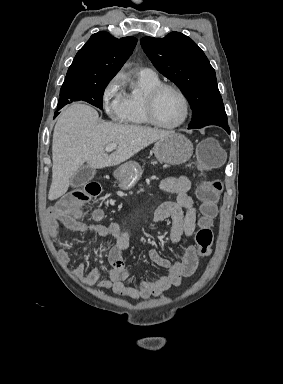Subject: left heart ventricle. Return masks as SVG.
<instances>
[{
  "label": "left heart ventricle",
  "mask_w": 283,
  "mask_h": 384,
  "mask_svg": "<svg viewBox=\"0 0 283 384\" xmlns=\"http://www.w3.org/2000/svg\"><path fill=\"white\" fill-rule=\"evenodd\" d=\"M183 103L180 97L171 90L163 91L155 101L154 115L164 125H172L183 116Z\"/></svg>",
  "instance_id": "obj_1"
}]
</instances>
